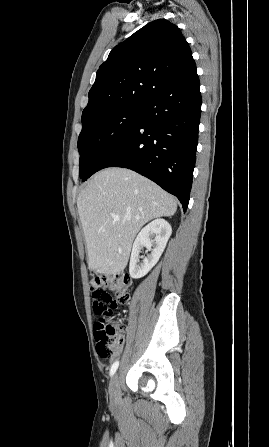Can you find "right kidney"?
Returning a JSON list of instances; mask_svg holds the SVG:
<instances>
[{"mask_svg": "<svg viewBox=\"0 0 269 447\" xmlns=\"http://www.w3.org/2000/svg\"><path fill=\"white\" fill-rule=\"evenodd\" d=\"M172 233V227L166 220H153L150 224L145 225L139 231L132 247V253L129 263V273L134 279L146 275L153 265L157 263L161 253H163L166 243ZM142 247H148L151 253L144 257L143 263L137 265L139 261V253Z\"/></svg>", "mask_w": 269, "mask_h": 447, "instance_id": "1", "label": "right kidney"}]
</instances>
